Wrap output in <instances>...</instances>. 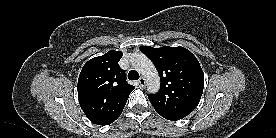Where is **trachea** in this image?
Segmentation results:
<instances>
[{
    "label": "trachea",
    "mask_w": 276,
    "mask_h": 138,
    "mask_svg": "<svg viewBox=\"0 0 276 138\" xmlns=\"http://www.w3.org/2000/svg\"><path fill=\"white\" fill-rule=\"evenodd\" d=\"M139 73L137 72V71H135V70H131V71H129V73H128V78H129V80H138L139 79Z\"/></svg>",
    "instance_id": "1"
}]
</instances>
